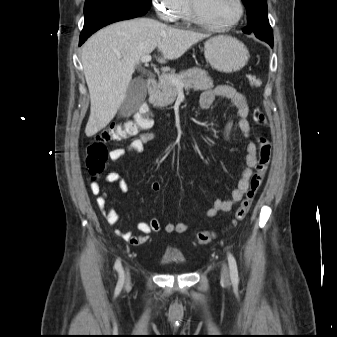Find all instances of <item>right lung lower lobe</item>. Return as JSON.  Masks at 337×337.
<instances>
[{
	"label": "right lung lower lobe",
	"mask_w": 337,
	"mask_h": 337,
	"mask_svg": "<svg viewBox=\"0 0 337 337\" xmlns=\"http://www.w3.org/2000/svg\"><path fill=\"white\" fill-rule=\"evenodd\" d=\"M148 9L132 8L124 5L110 4L91 10L85 15L84 27L80 35L79 46L100 28L120 20L136 18L146 14Z\"/></svg>",
	"instance_id": "98d812e1"
}]
</instances>
